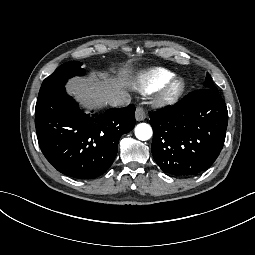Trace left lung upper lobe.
I'll list each match as a JSON object with an SVG mask.
<instances>
[{"mask_svg":"<svg viewBox=\"0 0 255 255\" xmlns=\"http://www.w3.org/2000/svg\"><path fill=\"white\" fill-rule=\"evenodd\" d=\"M204 85H205V88L218 91L217 87L214 85L211 75L209 73H207V75H206V80H205Z\"/></svg>","mask_w":255,"mask_h":255,"instance_id":"5c2ea615","label":"left lung upper lobe"}]
</instances>
